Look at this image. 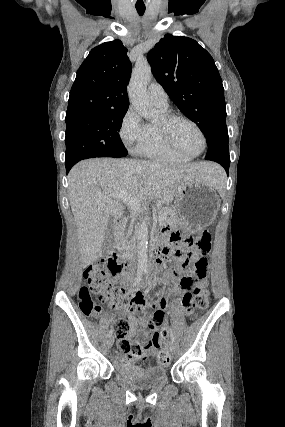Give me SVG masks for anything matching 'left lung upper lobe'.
I'll use <instances>...</instances> for the list:
<instances>
[{"label": "left lung upper lobe", "instance_id": "1", "mask_svg": "<svg viewBox=\"0 0 285 427\" xmlns=\"http://www.w3.org/2000/svg\"><path fill=\"white\" fill-rule=\"evenodd\" d=\"M172 101L204 133L209 145L227 136L222 79L211 55L195 40L167 34L147 55Z\"/></svg>", "mask_w": 285, "mask_h": 427}]
</instances>
